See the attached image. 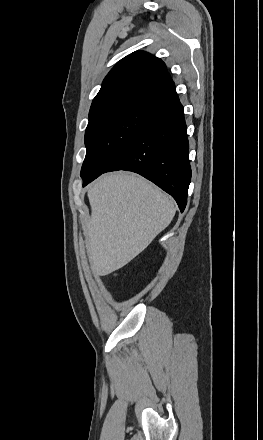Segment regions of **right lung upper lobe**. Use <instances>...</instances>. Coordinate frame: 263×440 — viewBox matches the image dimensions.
Masks as SVG:
<instances>
[{"instance_id":"right-lung-upper-lobe-1","label":"right lung upper lobe","mask_w":263,"mask_h":440,"mask_svg":"<svg viewBox=\"0 0 263 440\" xmlns=\"http://www.w3.org/2000/svg\"><path fill=\"white\" fill-rule=\"evenodd\" d=\"M174 93L175 85L164 62L147 52L136 51L120 60L105 77L92 102L89 118L116 107L157 106Z\"/></svg>"}]
</instances>
